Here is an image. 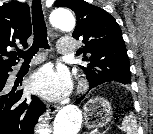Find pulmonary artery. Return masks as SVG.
Wrapping results in <instances>:
<instances>
[{
	"instance_id": "pulmonary-artery-1",
	"label": "pulmonary artery",
	"mask_w": 153,
	"mask_h": 134,
	"mask_svg": "<svg viewBox=\"0 0 153 134\" xmlns=\"http://www.w3.org/2000/svg\"><path fill=\"white\" fill-rule=\"evenodd\" d=\"M76 50V43L70 37H63L58 43V52L62 55H69L74 53ZM43 60V57L36 58L33 62L38 63Z\"/></svg>"
}]
</instances>
